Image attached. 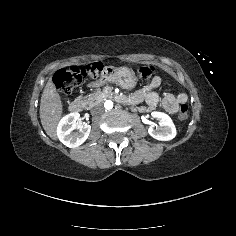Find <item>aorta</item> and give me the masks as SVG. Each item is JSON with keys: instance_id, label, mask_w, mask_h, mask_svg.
<instances>
[{"instance_id": "obj_1", "label": "aorta", "mask_w": 236, "mask_h": 236, "mask_svg": "<svg viewBox=\"0 0 236 236\" xmlns=\"http://www.w3.org/2000/svg\"><path fill=\"white\" fill-rule=\"evenodd\" d=\"M104 108L107 109V110H111L113 108V102L110 101V100H107L105 103H104Z\"/></svg>"}]
</instances>
